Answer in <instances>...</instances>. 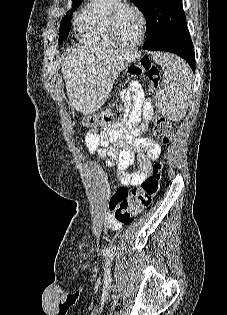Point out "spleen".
Returning <instances> with one entry per match:
<instances>
[{
    "label": "spleen",
    "instance_id": "3e777b00",
    "mask_svg": "<svg viewBox=\"0 0 227 315\" xmlns=\"http://www.w3.org/2000/svg\"><path fill=\"white\" fill-rule=\"evenodd\" d=\"M154 61L164 70L161 88L155 96L156 107L171 120H180L187 109L191 73L186 63L170 54L157 52Z\"/></svg>",
    "mask_w": 227,
    "mask_h": 315
}]
</instances>
